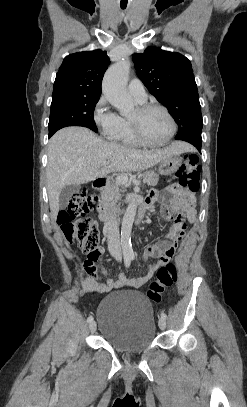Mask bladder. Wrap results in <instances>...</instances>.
Listing matches in <instances>:
<instances>
[{
  "instance_id": "31cf9c89",
  "label": "bladder",
  "mask_w": 247,
  "mask_h": 407,
  "mask_svg": "<svg viewBox=\"0 0 247 407\" xmlns=\"http://www.w3.org/2000/svg\"><path fill=\"white\" fill-rule=\"evenodd\" d=\"M96 319L102 338L125 354L143 352L156 337L151 302L136 291L105 297L98 306Z\"/></svg>"
}]
</instances>
